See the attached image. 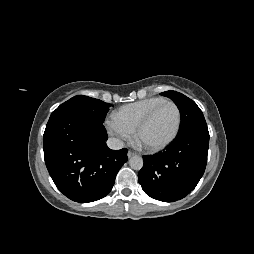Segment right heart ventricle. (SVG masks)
<instances>
[{
	"mask_svg": "<svg viewBox=\"0 0 254 254\" xmlns=\"http://www.w3.org/2000/svg\"><path fill=\"white\" fill-rule=\"evenodd\" d=\"M164 100L163 97H149L122 105L114 112V117L134 131L145 115Z\"/></svg>",
	"mask_w": 254,
	"mask_h": 254,
	"instance_id": "e07e8e85",
	"label": "right heart ventricle"
}]
</instances>
